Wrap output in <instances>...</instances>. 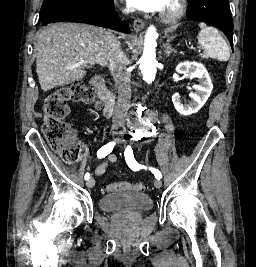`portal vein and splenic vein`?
<instances>
[{
	"instance_id": "portal-vein-and-splenic-vein-1",
	"label": "portal vein and splenic vein",
	"mask_w": 256,
	"mask_h": 267,
	"mask_svg": "<svg viewBox=\"0 0 256 267\" xmlns=\"http://www.w3.org/2000/svg\"><path fill=\"white\" fill-rule=\"evenodd\" d=\"M194 52H197L198 55H202L203 49L202 48H197V49H194Z\"/></svg>"
}]
</instances>
